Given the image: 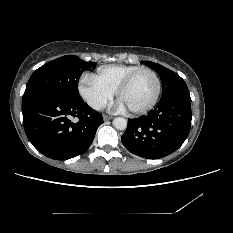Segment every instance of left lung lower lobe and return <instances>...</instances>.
<instances>
[{
	"label": "left lung lower lobe",
	"mask_w": 233,
	"mask_h": 233,
	"mask_svg": "<svg viewBox=\"0 0 233 233\" xmlns=\"http://www.w3.org/2000/svg\"><path fill=\"white\" fill-rule=\"evenodd\" d=\"M191 119L190 94L189 91H182L160 101L147 116L129 119L121 140L137 156L162 158L184 143L190 131Z\"/></svg>",
	"instance_id": "left-lung-lower-lobe-1"
}]
</instances>
